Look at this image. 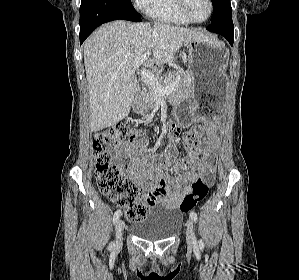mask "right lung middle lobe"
I'll use <instances>...</instances> for the list:
<instances>
[{"mask_svg":"<svg viewBox=\"0 0 299 280\" xmlns=\"http://www.w3.org/2000/svg\"><path fill=\"white\" fill-rule=\"evenodd\" d=\"M121 2H123L126 6H128L132 11H134L138 16L141 17V15L134 9L132 3L130 0H120Z\"/></svg>","mask_w":299,"mask_h":280,"instance_id":"1","label":"right lung middle lobe"}]
</instances>
